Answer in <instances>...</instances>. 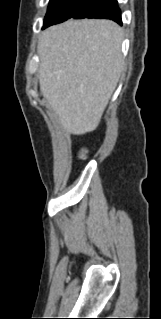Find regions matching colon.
Here are the masks:
<instances>
[{
    "mask_svg": "<svg viewBox=\"0 0 161 319\" xmlns=\"http://www.w3.org/2000/svg\"><path fill=\"white\" fill-rule=\"evenodd\" d=\"M85 153H86V152L84 151V152H83V155H85Z\"/></svg>",
    "mask_w": 161,
    "mask_h": 319,
    "instance_id": "colon-1",
    "label": "colon"
}]
</instances>
